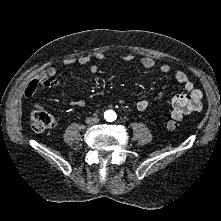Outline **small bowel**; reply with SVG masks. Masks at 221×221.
<instances>
[{
	"label": "small bowel",
	"mask_w": 221,
	"mask_h": 221,
	"mask_svg": "<svg viewBox=\"0 0 221 221\" xmlns=\"http://www.w3.org/2000/svg\"><path fill=\"white\" fill-rule=\"evenodd\" d=\"M97 59L103 61L105 59L103 54H98ZM126 61L131 62L134 60L132 55H128L124 58ZM91 59L87 56H82L77 59V62L81 65H88ZM76 62L74 58H68L65 60V64L71 65ZM140 64L144 69L150 70L157 68L160 72L164 74H172L175 81L181 84L186 93L176 95L172 98V116L176 118L178 115H186L193 111H198L201 108L202 92L200 89L195 87L194 82L189 78V76L183 70L171 71V68L167 64H157L155 59L150 56H144L140 59ZM91 73H96L98 67L95 64L89 66ZM57 68L55 66H50L40 72L24 89L23 96L25 98H31L36 93L39 87L46 89H57L60 86V82L53 79L57 75ZM71 104L81 106L84 104L83 101H72ZM38 105H36L37 107ZM137 109L141 112L147 110L148 101L145 99H140L137 104ZM183 111V112H182Z\"/></svg>",
	"instance_id": "c3829d8e"
}]
</instances>
